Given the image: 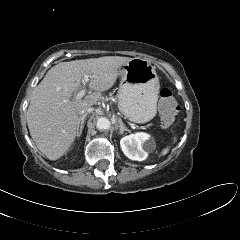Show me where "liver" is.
I'll use <instances>...</instances> for the list:
<instances>
[{"label": "liver", "instance_id": "obj_1", "mask_svg": "<svg viewBox=\"0 0 240 240\" xmlns=\"http://www.w3.org/2000/svg\"><path fill=\"white\" fill-rule=\"evenodd\" d=\"M132 58L105 56L70 62L52 67L34 89L27 111V124L37 148L50 160L67 153L80 126L79 112L91 107L110 89L119 69ZM89 75V87L95 91L77 99L81 81Z\"/></svg>", "mask_w": 240, "mask_h": 240}]
</instances>
